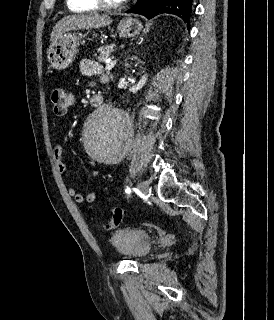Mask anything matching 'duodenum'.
Returning <instances> with one entry per match:
<instances>
[{"instance_id": "duodenum-1", "label": "duodenum", "mask_w": 274, "mask_h": 320, "mask_svg": "<svg viewBox=\"0 0 274 320\" xmlns=\"http://www.w3.org/2000/svg\"><path fill=\"white\" fill-rule=\"evenodd\" d=\"M103 102V97L100 95H94L90 98V104L93 106H100Z\"/></svg>"}]
</instances>
